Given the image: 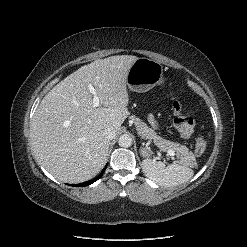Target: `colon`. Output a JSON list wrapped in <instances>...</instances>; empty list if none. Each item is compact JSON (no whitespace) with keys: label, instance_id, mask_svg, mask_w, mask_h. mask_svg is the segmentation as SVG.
Returning <instances> with one entry per match:
<instances>
[{"label":"colon","instance_id":"1","mask_svg":"<svg viewBox=\"0 0 247 247\" xmlns=\"http://www.w3.org/2000/svg\"><path fill=\"white\" fill-rule=\"evenodd\" d=\"M188 102L186 100L176 99L173 101L175 114L174 126L177 132L184 138L190 137L194 132L195 121L188 114ZM207 148V139L204 135H197L194 141L195 153L201 155Z\"/></svg>","mask_w":247,"mask_h":247}]
</instances>
